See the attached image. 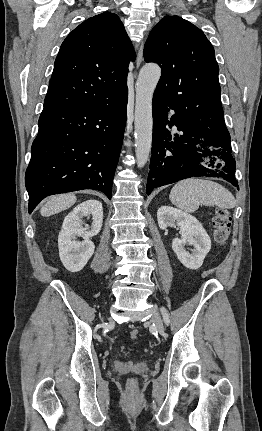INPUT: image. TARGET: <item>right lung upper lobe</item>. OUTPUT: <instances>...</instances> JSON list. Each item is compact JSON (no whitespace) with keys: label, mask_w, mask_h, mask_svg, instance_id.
Instances as JSON below:
<instances>
[{"label":"right lung upper lobe","mask_w":262,"mask_h":431,"mask_svg":"<svg viewBox=\"0 0 262 431\" xmlns=\"http://www.w3.org/2000/svg\"><path fill=\"white\" fill-rule=\"evenodd\" d=\"M135 53L116 14L104 12L75 28L55 60L44 108L95 106L127 90Z\"/></svg>","instance_id":"right-lung-upper-lobe-1"}]
</instances>
